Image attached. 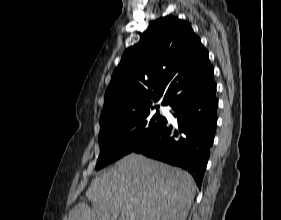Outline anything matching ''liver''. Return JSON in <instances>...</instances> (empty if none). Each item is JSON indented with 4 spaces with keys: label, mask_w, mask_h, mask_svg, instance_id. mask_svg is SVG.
<instances>
[{
    "label": "liver",
    "mask_w": 281,
    "mask_h": 220,
    "mask_svg": "<svg viewBox=\"0 0 281 220\" xmlns=\"http://www.w3.org/2000/svg\"><path fill=\"white\" fill-rule=\"evenodd\" d=\"M68 220H186L195 184L186 171L131 153L96 176Z\"/></svg>",
    "instance_id": "liver-1"
}]
</instances>
